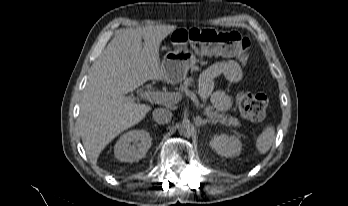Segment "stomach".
<instances>
[{"mask_svg":"<svg viewBox=\"0 0 348 206\" xmlns=\"http://www.w3.org/2000/svg\"><path fill=\"white\" fill-rule=\"evenodd\" d=\"M173 33V32H172ZM198 43H201L198 41ZM196 44L190 43V46ZM174 51H168L161 63V69L164 72L165 80L176 84L185 79L188 70L195 66L201 53L194 52L189 48L188 40L176 43Z\"/></svg>","mask_w":348,"mask_h":206,"instance_id":"1","label":"stomach"}]
</instances>
